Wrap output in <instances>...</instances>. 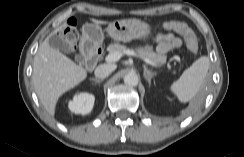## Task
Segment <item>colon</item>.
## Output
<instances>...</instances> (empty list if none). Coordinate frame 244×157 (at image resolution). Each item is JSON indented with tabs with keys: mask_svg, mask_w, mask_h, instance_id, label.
I'll list each match as a JSON object with an SVG mask.
<instances>
[{
	"mask_svg": "<svg viewBox=\"0 0 244 157\" xmlns=\"http://www.w3.org/2000/svg\"><path fill=\"white\" fill-rule=\"evenodd\" d=\"M163 27L167 30H172L180 34L187 45L188 49L196 54L199 50V43L194 32L184 23L179 21H169L163 24ZM62 37L66 44L73 48L77 41V30L75 24L69 23L62 32Z\"/></svg>",
	"mask_w": 244,
	"mask_h": 157,
	"instance_id": "colon-1",
	"label": "colon"
}]
</instances>
